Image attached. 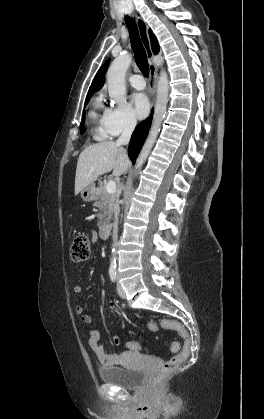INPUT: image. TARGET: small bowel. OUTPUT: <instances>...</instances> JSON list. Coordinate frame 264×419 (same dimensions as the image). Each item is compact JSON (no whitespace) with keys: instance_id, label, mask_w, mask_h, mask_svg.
<instances>
[{"instance_id":"obj_1","label":"small bowel","mask_w":264,"mask_h":419,"mask_svg":"<svg viewBox=\"0 0 264 419\" xmlns=\"http://www.w3.org/2000/svg\"><path fill=\"white\" fill-rule=\"evenodd\" d=\"M92 240H93V242L96 241V235L95 234H93ZM85 289H86V286L83 283H79L74 287V291L76 293H82V292L85 291ZM76 312H77V314L80 315V319L83 323L90 324L92 322L91 316L84 311L83 306L77 305L76 306ZM100 338H101L100 330L90 329V331H89V346L92 349V351L94 352V354L97 357V359L99 360V362L101 363V365H103L105 367H111V366H116V365L121 364L122 356L127 355L128 352L138 353L140 351V350H137V349L132 347V344L134 342H128L126 347L129 351L124 352L121 355L107 354V353H105L103 347L99 344ZM112 341H113L114 344L119 345L120 342H121L120 334L115 333L112 337Z\"/></svg>"}]
</instances>
